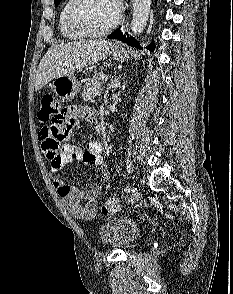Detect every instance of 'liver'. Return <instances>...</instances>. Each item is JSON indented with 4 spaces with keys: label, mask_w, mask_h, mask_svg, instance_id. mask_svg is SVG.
I'll return each mask as SVG.
<instances>
[{
    "label": "liver",
    "mask_w": 233,
    "mask_h": 294,
    "mask_svg": "<svg viewBox=\"0 0 233 294\" xmlns=\"http://www.w3.org/2000/svg\"><path fill=\"white\" fill-rule=\"evenodd\" d=\"M112 43L105 40L77 41L52 46L39 63L35 90L42 89L52 79L87 67L105 57Z\"/></svg>",
    "instance_id": "6515ba94"
}]
</instances>
